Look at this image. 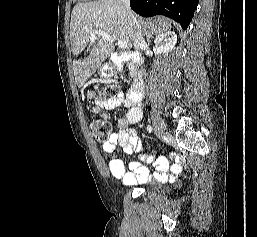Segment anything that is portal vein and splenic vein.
I'll list each match as a JSON object with an SVG mask.
<instances>
[{"instance_id":"18ae733b","label":"portal vein and splenic vein","mask_w":257,"mask_h":237,"mask_svg":"<svg viewBox=\"0 0 257 237\" xmlns=\"http://www.w3.org/2000/svg\"><path fill=\"white\" fill-rule=\"evenodd\" d=\"M96 36L102 37L104 40L109 41V42H114V38L111 37L108 33L102 30H94L91 33L90 41L93 43L96 40ZM117 45L120 49L125 50L127 49L128 45L126 42L119 40L117 41Z\"/></svg>"}]
</instances>
